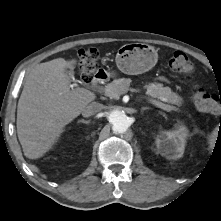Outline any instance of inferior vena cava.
I'll list each match as a JSON object with an SVG mask.
<instances>
[{"mask_svg": "<svg viewBox=\"0 0 221 221\" xmlns=\"http://www.w3.org/2000/svg\"><path fill=\"white\" fill-rule=\"evenodd\" d=\"M101 109L102 105L100 103L92 102L82 109V115L83 117H91L98 113Z\"/></svg>", "mask_w": 221, "mask_h": 221, "instance_id": "inferior-vena-cava-1", "label": "inferior vena cava"}]
</instances>
